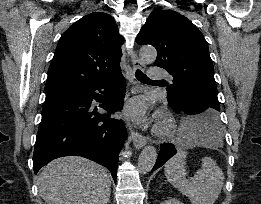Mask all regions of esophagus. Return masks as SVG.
Wrapping results in <instances>:
<instances>
[{
    "label": "esophagus",
    "instance_id": "34e87169",
    "mask_svg": "<svg viewBox=\"0 0 261 204\" xmlns=\"http://www.w3.org/2000/svg\"><path fill=\"white\" fill-rule=\"evenodd\" d=\"M131 58H132L133 74H135V72L138 69H140V70L145 69V65L140 61V59L138 58L137 53L135 51H132ZM131 138H132L134 147H136L137 149H141L147 143L146 137H144L142 134L138 133L137 131L131 132Z\"/></svg>",
    "mask_w": 261,
    "mask_h": 204
}]
</instances>
